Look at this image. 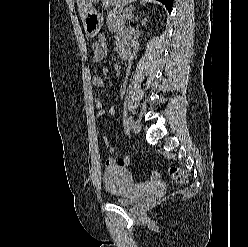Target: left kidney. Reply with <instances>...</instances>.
Here are the masks:
<instances>
[{"label": "left kidney", "instance_id": "5707ae66", "mask_svg": "<svg viewBox=\"0 0 248 247\" xmlns=\"http://www.w3.org/2000/svg\"><path fill=\"white\" fill-rule=\"evenodd\" d=\"M145 23H146V19H144V21H143V24L145 25Z\"/></svg>", "mask_w": 248, "mask_h": 247}]
</instances>
